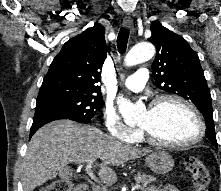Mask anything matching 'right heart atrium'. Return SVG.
Here are the masks:
<instances>
[{"label":"right heart atrium","mask_w":221,"mask_h":191,"mask_svg":"<svg viewBox=\"0 0 221 191\" xmlns=\"http://www.w3.org/2000/svg\"><path fill=\"white\" fill-rule=\"evenodd\" d=\"M103 124L108 135L117 140L134 143L140 137L139 129L127 126L116 110L110 106H107L103 112Z\"/></svg>","instance_id":"d8ad5b80"}]
</instances>
